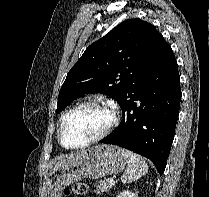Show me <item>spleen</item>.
<instances>
[{
  "label": "spleen",
  "instance_id": "spleen-1",
  "mask_svg": "<svg viewBox=\"0 0 209 197\" xmlns=\"http://www.w3.org/2000/svg\"><path fill=\"white\" fill-rule=\"evenodd\" d=\"M122 155L126 159L127 164L126 171L121 176L123 183H131L138 180L148 172V165L141 156L125 149H122Z\"/></svg>",
  "mask_w": 209,
  "mask_h": 197
}]
</instances>
